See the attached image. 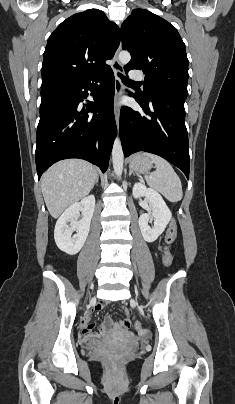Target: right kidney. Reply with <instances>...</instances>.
Instances as JSON below:
<instances>
[{
	"instance_id": "obj_1",
	"label": "right kidney",
	"mask_w": 235,
	"mask_h": 404,
	"mask_svg": "<svg viewBox=\"0 0 235 404\" xmlns=\"http://www.w3.org/2000/svg\"><path fill=\"white\" fill-rule=\"evenodd\" d=\"M94 209L95 197L89 195L80 202L72 204L61 215L54 230V239L61 251L75 255L81 250L88 237ZM80 211L82 219L78 220ZM74 231L77 234L72 236Z\"/></svg>"
}]
</instances>
